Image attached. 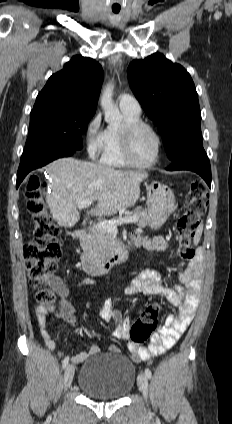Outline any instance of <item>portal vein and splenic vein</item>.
<instances>
[{
	"mask_svg": "<svg viewBox=\"0 0 232 424\" xmlns=\"http://www.w3.org/2000/svg\"><path fill=\"white\" fill-rule=\"evenodd\" d=\"M92 204L91 200H84L77 203V207L79 209H84L89 207ZM138 221V218L136 216H127L124 218H119L116 220H110V221H101L93 226L95 229H103L110 232H117V226L121 225L123 223H135Z\"/></svg>",
	"mask_w": 232,
	"mask_h": 424,
	"instance_id": "1",
	"label": "portal vein and splenic vein"
}]
</instances>
